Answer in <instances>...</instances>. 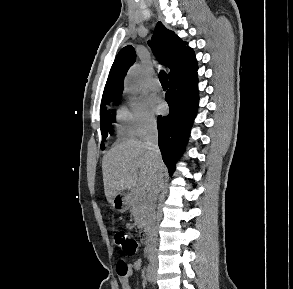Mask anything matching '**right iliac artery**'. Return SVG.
Returning <instances> with one entry per match:
<instances>
[{"mask_svg":"<svg viewBox=\"0 0 293 289\" xmlns=\"http://www.w3.org/2000/svg\"><path fill=\"white\" fill-rule=\"evenodd\" d=\"M146 278L149 282L152 281L153 279V270H152V267L150 265L147 266V269H146Z\"/></svg>","mask_w":293,"mask_h":289,"instance_id":"obj_1","label":"right iliac artery"}]
</instances>
